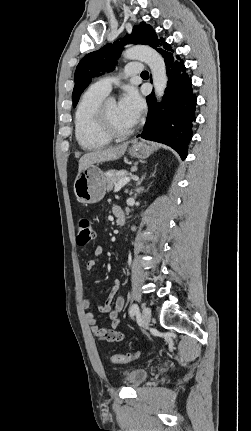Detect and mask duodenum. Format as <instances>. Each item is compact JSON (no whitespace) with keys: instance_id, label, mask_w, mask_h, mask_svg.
I'll return each instance as SVG.
<instances>
[{"instance_id":"obj_1","label":"duodenum","mask_w":251,"mask_h":431,"mask_svg":"<svg viewBox=\"0 0 251 431\" xmlns=\"http://www.w3.org/2000/svg\"><path fill=\"white\" fill-rule=\"evenodd\" d=\"M116 219H117V223L119 226H123L125 224V213L123 212V210L117 211L115 213Z\"/></svg>"}]
</instances>
